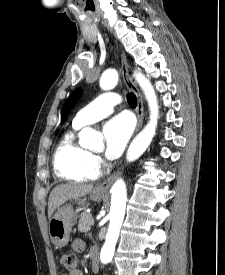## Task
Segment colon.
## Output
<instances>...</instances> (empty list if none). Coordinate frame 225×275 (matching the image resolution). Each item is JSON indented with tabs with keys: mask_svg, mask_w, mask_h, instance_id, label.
Listing matches in <instances>:
<instances>
[{
	"mask_svg": "<svg viewBox=\"0 0 225 275\" xmlns=\"http://www.w3.org/2000/svg\"><path fill=\"white\" fill-rule=\"evenodd\" d=\"M60 262L68 271L76 270L77 258L73 253H65L61 256Z\"/></svg>",
	"mask_w": 225,
	"mask_h": 275,
	"instance_id": "colon-1",
	"label": "colon"
}]
</instances>
